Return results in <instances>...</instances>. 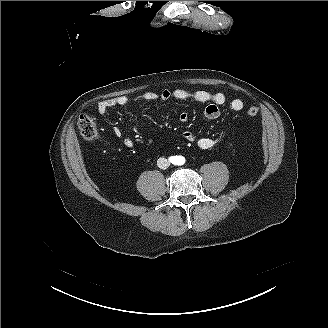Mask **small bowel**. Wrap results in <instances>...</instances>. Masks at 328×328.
Wrapping results in <instances>:
<instances>
[{
    "label": "small bowel",
    "instance_id": "1",
    "mask_svg": "<svg viewBox=\"0 0 328 328\" xmlns=\"http://www.w3.org/2000/svg\"><path fill=\"white\" fill-rule=\"evenodd\" d=\"M176 99L180 101L193 100L201 103H208V105L203 110V116L208 120L217 119L221 110L220 107L228 103L229 108L234 112H239L244 108V102L239 98H234L227 102L226 96L221 92H209L205 90L189 91L185 89H163L160 92L147 91L136 98L134 101H146L153 102L157 100H169ZM130 99L126 96H118L110 99L100 101L97 104V111L99 114L104 115L109 109L115 107L126 106L130 103ZM189 119V114L187 112H181L178 115V120L180 122H186ZM114 135L121 139L124 146L131 148L134 145V142L123 137L121 130L117 127L113 129ZM184 140L188 142H195L200 149L208 150L214 146V140L208 136H198L196 132L192 130H185L182 133Z\"/></svg>",
    "mask_w": 328,
    "mask_h": 328
}]
</instances>
